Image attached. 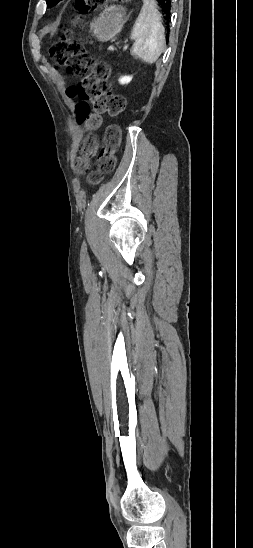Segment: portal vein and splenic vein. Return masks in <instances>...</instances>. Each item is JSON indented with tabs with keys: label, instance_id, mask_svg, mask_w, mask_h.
Segmentation results:
<instances>
[{
	"label": "portal vein and splenic vein",
	"instance_id": "18ae733b",
	"mask_svg": "<svg viewBox=\"0 0 253 548\" xmlns=\"http://www.w3.org/2000/svg\"><path fill=\"white\" fill-rule=\"evenodd\" d=\"M123 49L124 50L128 49V45H124Z\"/></svg>",
	"mask_w": 253,
	"mask_h": 548
}]
</instances>
